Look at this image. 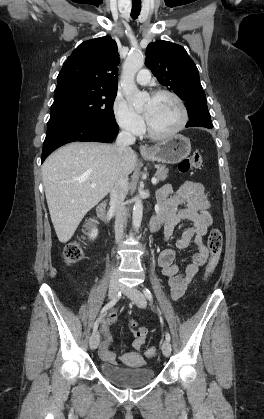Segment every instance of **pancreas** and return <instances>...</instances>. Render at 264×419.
I'll list each match as a JSON object with an SVG mask.
<instances>
[{"mask_svg": "<svg viewBox=\"0 0 264 419\" xmlns=\"http://www.w3.org/2000/svg\"><path fill=\"white\" fill-rule=\"evenodd\" d=\"M155 175L158 180H165L168 176V169L164 165H161L157 168Z\"/></svg>", "mask_w": 264, "mask_h": 419, "instance_id": "pancreas-1", "label": "pancreas"}]
</instances>
